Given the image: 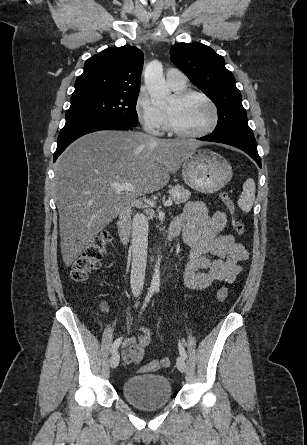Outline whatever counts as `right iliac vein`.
Here are the masks:
<instances>
[{
	"label": "right iliac vein",
	"instance_id": "63e3f726",
	"mask_svg": "<svg viewBox=\"0 0 307 445\" xmlns=\"http://www.w3.org/2000/svg\"><path fill=\"white\" fill-rule=\"evenodd\" d=\"M119 361H120V355H119V352H114L113 354H112V356H111V359H110V365H111V367L112 368H116L117 366H118V364H119Z\"/></svg>",
	"mask_w": 307,
	"mask_h": 445
}]
</instances>
